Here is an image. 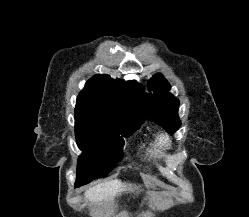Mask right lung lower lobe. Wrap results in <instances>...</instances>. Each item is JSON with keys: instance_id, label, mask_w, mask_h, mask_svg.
<instances>
[{"instance_id": "obj_1", "label": "right lung lower lobe", "mask_w": 249, "mask_h": 217, "mask_svg": "<svg viewBox=\"0 0 249 217\" xmlns=\"http://www.w3.org/2000/svg\"><path fill=\"white\" fill-rule=\"evenodd\" d=\"M83 184H81V183H79L78 181H76V183H75V187H80V186H82Z\"/></svg>"}]
</instances>
